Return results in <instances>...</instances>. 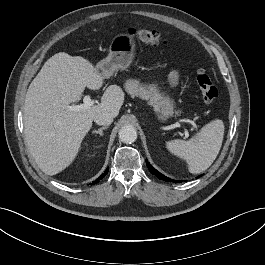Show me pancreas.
Segmentation results:
<instances>
[{
    "mask_svg": "<svg viewBox=\"0 0 265 265\" xmlns=\"http://www.w3.org/2000/svg\"><path fill=\"white\" fill-rule=\"evenodd\" d=\"M125 89L132 97L138 96L142 99H152L157 97V92L153 87L142 85L138 80H128L125 83Z\"/></svg>",
    "mask_w": 265,
    "mask_h": 265,
    "instance_id": "1",
    "label": "pancreas"
}]
</instances>
